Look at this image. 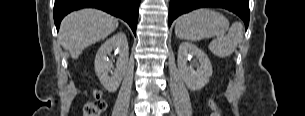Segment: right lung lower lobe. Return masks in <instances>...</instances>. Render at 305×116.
<instances>
[{"label": "right lung lower lobe", "instance_id": "right-lung-lower-lobe-1", "mask_svg": "<svg viewBox=\"0 0 305 116\" xmlns=\"http://www.w3.org/2000/svg\"><path fill=\"white\" fill-rule=\"evenodd\" d=\"M141 0H55L54 21L59 30L65 15L80 8H98L126 21L136 35Z\"/></svg>", "mask_w": 305, "mask_h": 116}]
</instances>
